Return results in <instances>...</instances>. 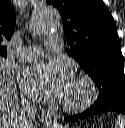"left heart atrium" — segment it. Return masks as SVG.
I'll return each instance as SVG.
<instances>
[{"instance_id":"1","label":"left heart atrium","mask_w":125,"mask_h":128,"mask_svg":"<svg viewBox=\"0 0 125 128\" xmlns=\"http://www.w3.org/2000/svg\"><path fill=\"white\" fill-rule=\"evenodd\" d=\"M19 82L29 97L44 103L65 100L73 85L70 69L62 62L26 67L20 73Z\"/></svg>"}]
</instances>
